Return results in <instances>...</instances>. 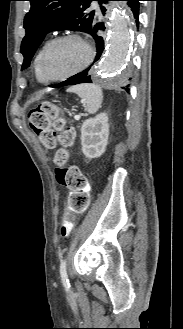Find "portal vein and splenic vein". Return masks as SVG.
<instances>
[{
    "instance_id": "portal-vein-and-splenic-vein-1",
    "label": "portal vein and splenic vein",
    "mask_w": 183,
    "mask_h": 329,
    "mask_svg": "<svg viewBox=\"0 0 183 329\" xmlns=\"http://www.w3.org/2000/svg\"><path fill=\"white\" fill-rule=\"evenodd\" d=\"M80 118H81L80 115H75V116H74V119H75V120H79Z\"/></svg>"
}]
</instances>
